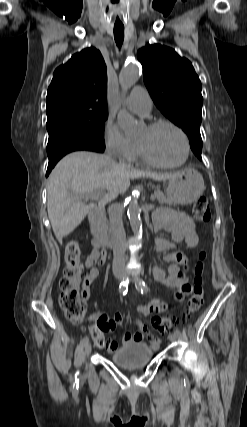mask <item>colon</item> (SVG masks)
<instances>
[{"label":"colon","mask_w":247,"mask_h":427,"mask_svg":"<svg viewBox=\"0 0 247 427\" xmlns=\"http://www.w3.org/2000/svg\"><path fill=\"white\" fill-rule=\"evenodd\" d=\"M193 216L202 223H207L211 219V210L206 197L198 198L193 206ZM82 245L79 240L71 239L65 246V269L60 280V294L58 302L68 320L79 324L85 315V302L80 295L81 265L80 256ZM205 252L199 254V261L195 266V277L193 285L190 287L191 296L187 302L182 316L154 317L152 319L153 328L161 333L169 332L180 326L181 322L188 316L195 314L202 306L204 299L203 272ZM91 336L99 347H106L107 343L103 337L102 329L96 325L90 328Z\"/></svg>","instance_id":"1"}]
</instances>
